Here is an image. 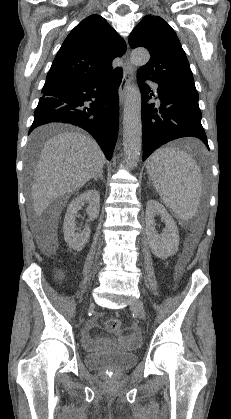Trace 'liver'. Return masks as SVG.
Listing matches in <instances>:
<instances>
[{"mask_svg": "<svg viewBox=\"0 0 231 419\" xmlns=\"http://www.w3.org/2000/svg\"><path fill=\"white\" fill-rule=\"evenodd\" d=\"M48 129L42 126L33 132L32 147ZM105 161L96 141L80 132L67 131L49 139L34 170L31 195L35 213L41 215L56 198L84 186L102 171ZM52 240L56 248V234Z\"/></svg>", "mask_w": 231, "mask_h": 419, "instance_id": "1", "label": "liver"}]
</instances>
